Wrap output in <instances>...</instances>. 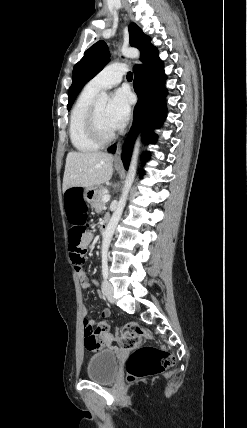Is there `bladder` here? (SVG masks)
Returning <instances> with one entry per match:
<instances>
[{
  "label": "bladder",
  "mask_w": 247,
  "mask_h": 428,
  "mask_svg": "<svg viewBox=\"0 0 247 428\" xmlns=\"http://www.w3.org/2000/svg\"><path fill=\"white\" fill-rule=\"evenodd\" d=\"M118 373V357L112 349H100L89 359L86 375L90 381L100 384L112 383Z\"/></svg>",
  "instance_id": "obj_1"
}]
</instances>
